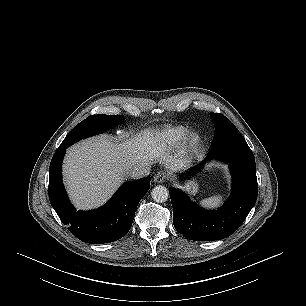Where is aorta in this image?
<instances>
[{"mask_svg":"<svg viewBox=\"0 0 306 306\" xmlns=\"http://www.w3.org/2000/svg\"><path fill=\"white\" fill-rule=\"evenodd\" d=\"M152 198L156 202H165L169 197V191L165 186L158 185L152 189L151 192Z\"/></svg>","mask_w":306,"mask_h":306,"instance_id":"1","label":"aorta"}]
</instances>
